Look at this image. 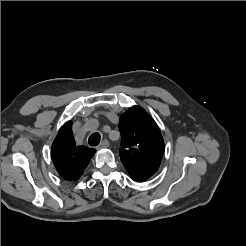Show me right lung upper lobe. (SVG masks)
<instances>
[{
    "instance_id": "obj_1",
    "label": "right lung upper lobe",
    "mask_w": 246,
    "mask_h": 246,
    "mask_svg": "<svg viewBox=\"0 0 246 246\" xmlns=\"http://www.w3.org/2000/svg\"><path fill=\"white\" fill-rule=\"evenodd\" d=\"M71 126V121H68L59 130L52 145L51 157L57 172L63 179L76 181L95 154V149L76 146Z\"/></svg>"
}]
</instances>
